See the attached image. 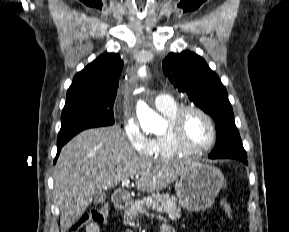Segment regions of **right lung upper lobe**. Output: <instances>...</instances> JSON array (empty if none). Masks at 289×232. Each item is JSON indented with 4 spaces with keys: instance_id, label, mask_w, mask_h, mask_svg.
Masks as SVG:
<instances>
[{
    "instance_id": "cb5924a9",
    "label": "right lung upper lobe",
    "mask_w": 289,
    "mask_h": 232,
    "mask_svg": "<svg viewBox=\"0 0 289 232\" xmlns=\"http://www.w3.org/2000/svg\"><path fill=\"white\" fill-rule=\"evenodd\" d=\"M122 68L123 61L119 54L100 55L74 76L67 91V100L81 97H116Z\"/></svg>"
}]
</instances>
